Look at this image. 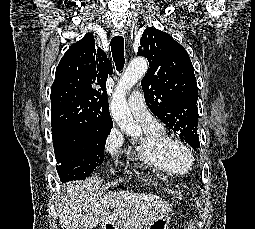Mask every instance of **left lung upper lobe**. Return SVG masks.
<instances>
[{
	"instance_id": "left-lung-upper-lobe-1",
	"label": "left lung upper lobe",
	"mask_w": 255,
	"mask_h": 229,
	"mask_svg": "<svg viewBox=\"0 0 255 229\" xmlns=\"http://www.w3.org/2000/svg\"><path fill=\"white\" fill-rule=\"evenodd\" d=\"M137 55L150 64L141 81L146 105L188 144L199 148L198 89L187 51L169 34L150 27L143 32Z\"/></svg>"
}]
</instances>
